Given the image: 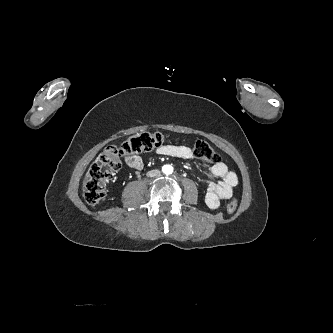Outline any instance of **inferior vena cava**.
Returning <instances> with one entry per match:
<instances>
[{
	"mask_svg": "<svg viewBox=\"0 0 333 333\" xmlns=\"http://www.w3.org/2000/svg\"><path fill=\"white\" fill-rule=\"evenodd\" d=\"M160 174V171L159 170H151L149 172H147V176L148 177H155V176H158Z\"/></svg>",
	"mask_w": 333,
	"mask_h": 333,
	"instance_id": "inferior-vena-cava-1",
	"label": "inferior vena cava"
}]
</instances>
